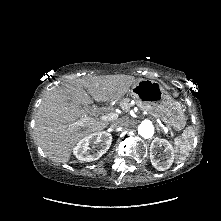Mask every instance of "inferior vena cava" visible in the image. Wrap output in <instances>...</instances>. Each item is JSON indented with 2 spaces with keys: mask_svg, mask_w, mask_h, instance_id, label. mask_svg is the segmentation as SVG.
<instances>
[{
  "mask_svg": "<svg viewBox=\"0 0 221 221\" xmlns=\"http://www.w3.org/2000/svg\"><path fill=\"white\" fill-rule=\"evenodd\" d=\"M127 125V122L123 119L117 120L113 123H111L112 128H121Z\"/></svg>",
  "mask_w": 221,
  "mask_h": 221,
  "instance_id": "obj_1",
  "label": "inferior vena cava"
}]
</instances>
